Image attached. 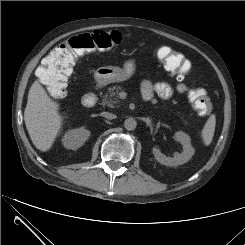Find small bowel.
Segmentation results:
<instances>
[{
    "label": "small bowel",
    "instance_id": "obj_1",
    "mask_svg": "<svg viewBox=\"0 0 245 245\" xmlns=\"http://www.w3.org/2000/svg\"><path fill=\"white\" fill-rule=\"evenodd\" d=\"M165 49L169 48H161L158 55H160V52ZM187 90V85L182 82H178L174 87L170 86L167 83L152 84L149 80H143L141 83L142 95L143 98L147 101H150L153 98L154 94H157L163 99H170L175 92L184 94L185 92H187Z\"/></svg>",
    "mask_w": 245,
    "mask_h": 245
}]
</instances>
